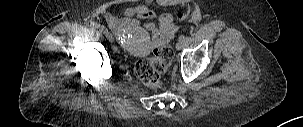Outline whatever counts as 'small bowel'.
Instances as JSON below:
<instances>
[{
	"mask_svg": "<svg viewBox=\"0 0 303 127\" xmlns=\"http://www.w3.org/2000/svg\"><path fill=\"white\" fill-rule=\"evenodd\" d=\"M155 12L146 4L127 8L121 14L105 13L104 19L119 41L136 53H146L172 39V17L162 14L153 22ZM141 21H145L141 23Z\"/></svg>",
	"mask_w": 303,
	"mask_h": 127,
	"instance_id": "small-bowel-1",
	"label": "small bowel"
}]
</instances>
